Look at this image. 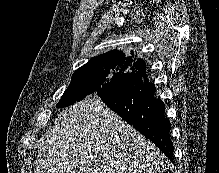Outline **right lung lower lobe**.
Returning <instances> with one entry per match:
<instances>
[{"instance_id": "right-lung-lower-lobe-1", "label": "right lung lower lobe", "mask_w": 219, "mask_h": 173, "mask_svg": "<svg viewBox=\"0 0 219 173\" xmlns=\"http://www.w3.org/2000/svg\"><path fill=\"white\" fill-rule=\"evenodd\" d=\"M155 87L149 83L146 66L128 74L122 85L110 93L97 94L115 113L150 139L171 161L173 143L165 106L154 97Z\"/></svg>"}]
</instances>
